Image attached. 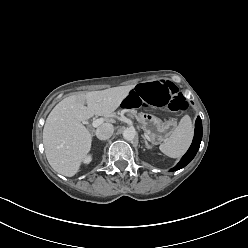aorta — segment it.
<instances>
[{
  "mask_svg": "<svg viewBox=\"0 0 248 248\" xmlns=\"http://www.w3.org/2000/svg\"><path fill=\"white\" fill-rule=\"evenodd\" d=\"M123 137L127 141H132L136 137L135 129L131 127L124 129Z\"/></svg>",
  "mask_w": 248,
  "mask_h": 248,
  "instance_id": "obj_1",
  "label": "aorta"
}]
</instances>
